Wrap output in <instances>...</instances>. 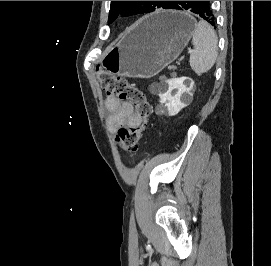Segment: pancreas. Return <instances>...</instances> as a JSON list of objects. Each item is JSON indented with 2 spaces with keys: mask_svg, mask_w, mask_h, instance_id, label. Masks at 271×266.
I'll list each match as a JSON object with an SVG mask.
<instances>
[{
  "mask_svg": "<svg viewBox=\"0 0 271 266\" xmlns=\"http://www.w3.org/2000/svg\"><path fill=\"white\" fill-rule=\"evenodd\" d=\"M176 67L175 66H170L169 69L170 70H174Z\"/></svg>",
  "mask_w": 271,
  "mask_h": 266,
  "instance_id": "1",
  "label": "pancreas"
}]
</instances>
